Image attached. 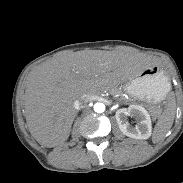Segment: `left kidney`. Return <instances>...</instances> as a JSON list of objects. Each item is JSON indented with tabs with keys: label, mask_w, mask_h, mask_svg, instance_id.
<instances>
[{
	"label": "left kidney",
	"mask_w": 183,
	"mask_h": 183,
	"mask_svg": "<svg viewBox=\"0 0 183 183\" xmlns=\"http://www.w3.org/2000/svg\"><path fill=\"white\" fill-rule=\"evenodd\" d=\"M127 116L134 117L138 124L133 127L127 121ZM121 132L134 139H148L152 133V123L148 111L141 105H130L121 108L115 114Z\"/></svg>",
	"instance_id": "obj_1"
}]
</instances>
